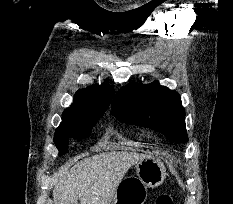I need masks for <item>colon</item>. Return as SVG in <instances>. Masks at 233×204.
<instances>
[{"mask_svg":"<svg viewBox=\"0 0 233 204\" xmlns=\"http://www.w3.org/2000/svg\"><path fill=\"white\" fill-rule=\"evenodd\" d=\"M155 204H173V200L171 195L163 193L157 197Z\"/></svg>","mask_w":233,"mask_h":204,"instance_id":"obj_1","label":"colon"}]
</instances>
